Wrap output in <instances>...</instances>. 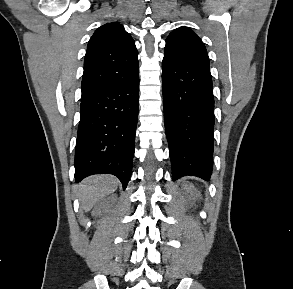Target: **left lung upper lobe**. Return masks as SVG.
Masks as SVG:
<instances>
[{"label":"left lung upper lobe","mask_w":293,"mask_h":289,"mask_svg":"<svg viewBox=\"0 0 293 289\" xmlns=\"http://www.w3.org/2000/svg\"><path fill=\"white\" fill-rule=\"evenodd\" d=\"M164 57L197 67H209V58L203 42L187 27H180L168 36Z\"/></svg>","instance_id":"5c2ea615"}]
</instances>
